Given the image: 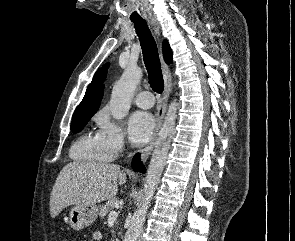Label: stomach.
Here are the masks:
<instances>
[{
	"label": "stomach",
	"instance_id": "stomach-1",
	"mask_svg": "<svg viewBox=\"0 0 295 241\" xmlns=\"http://www.w3.org/2000/svg\"><path fill=\"white\" fill-rule=\"evenodd\" d=\"M98 216V206L94 205H75L71 208L68 222L74 230H82L90 226Z\"/></svg>",
	"mask_w": 295,
	"mask_h": 241
}]
</instances>
